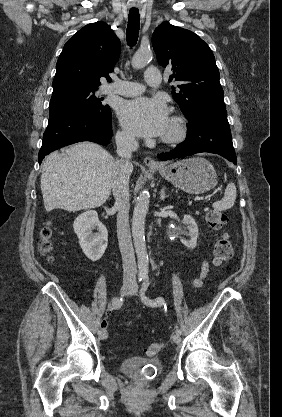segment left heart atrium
I'll use <instances>...</instances> for the list:
<instances>
[{
	"label": "left heart atrium",
	"mask_w": 282,
	"mask_h": 417,
	"mask_svg": "<svg viewBox=\"0 0 282 417\" xmlns=\"http://www.w3.org/2000/svg\"><path fill=\"white\" fill-rule=\"evenodd\" d=\"M118 114L126 130L139 136L161 135L168 126L166 107L156 99L125 101L119 107Z\"/></svg>",
	"instance_id": "left-heart-atrium-1"
}]
</instances>
